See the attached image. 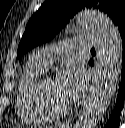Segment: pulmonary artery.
Returning a JSON list of instances; mask_svg holds the SVG:
<instances>
[{
	"label": "pulmonary artery",
	"mask_w": 125,
	"mask_h": 128,
	"mask_svg": "<svg viewBox=\"0 0 125 128\" xmlns=\"http://www.w3.org/2000/svg\"><path fill=\"white\" fill-rule=\"evenodd\" d=\"M97 44L98 38L93 34H80L74 38L73 42L44 47L34 52L30 56V60L47 69L55 59L66 56L70 51L74 49H89L97 46Z\"/></svg>",
	"instance_id": "1"
}]
</instances>
